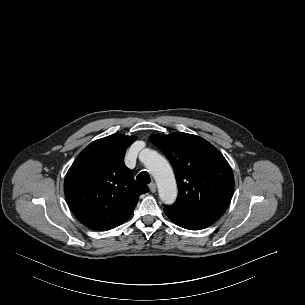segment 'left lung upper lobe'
<instances>
[{
    "label": "left lung upper lobe",
    "instance_id": "obj_1",
    "mask_svg": "<svg viewBox=\"0 0 305 305\" xmlns=\"http://www.w3.org/2000/svg\"><path fill=\"white\" fill-rule=\"evenodd\" d=\"M150 140L170 160L178 185L176 202L164 209L188 216H221L234 191L224 156L205 139L188 133L153 134Z\"/></svg>",
    "mask_w": 305,
    "mask_h": 305
}]
</instances>
